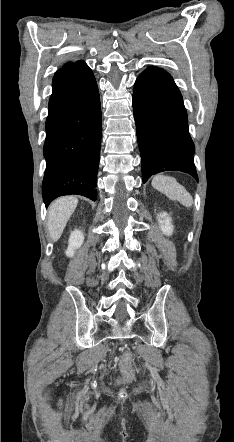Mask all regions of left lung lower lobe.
I'll list each match as a JSON object with an SVG mask.
<instances>
[{
	"mask_svg": "<svg viewBox=\"0 0 234 442\" xmlns=\"http://www.w3.org/2000/svg\"><path fill=\"white\" fill-rule=\"evenodd\" d=\"M133 111L143 182L168 170L198 180L186 109L170 74L158 67L147 68L134 84Z\"/></svg>",
	"mask_w": 234,
	"mask_h": 442,
	"instance_id": "left-lung-lower-lobe-1",
	"label": "left lung lower lobe"
}]
</instances>
